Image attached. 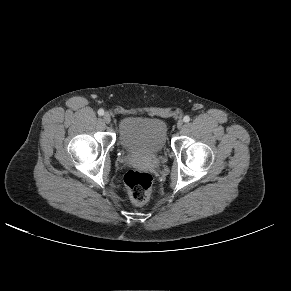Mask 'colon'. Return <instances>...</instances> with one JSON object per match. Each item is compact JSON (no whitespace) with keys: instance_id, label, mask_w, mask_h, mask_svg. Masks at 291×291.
<instances>
[{"instance_id":"colon-1","label":"colon","mask_w":291,"mask_h":291,"mask_svg":"<svg viewBox=\"0 0 291 291\" xmlns=\"http://www.w3.org/2000/svg\"><path fill=\"white\" fill-rule=\"evenodd\" d=\"M124 182L131 200L137 204H144L150 195L152 176L146 172L130 170L124 176Z\"/></svg>"}]
</instances>
